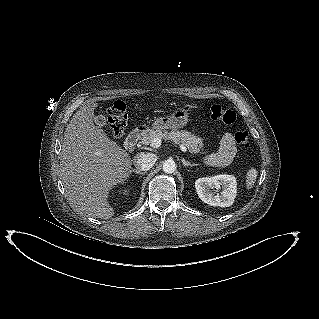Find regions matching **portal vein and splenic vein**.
Instances as JSON below:
<instances>
[{"label": "portal vein and splenic vein", "instance_id": "18ae733b", "mask_svg": "<svg viewBox=\"0 0 319 319\" xmlns=\"http://www.w3.org/2000/svg\"><path fill=\"white\" fill-rule=\"evenodd\" d=\"M161 145V139L160 138H154L151 142V146L154 148H158ZM181 151H183L184 153L187 151V148L181 144L180 146Z\"/></svg>", "mask_w": 319, "mask_h": 319}]
</instances>
